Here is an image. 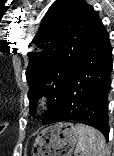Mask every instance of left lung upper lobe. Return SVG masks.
<instances>
[{
    "label": "left lung upper lobe",
    "instance_id": "left-lung-upper-lobe-1",
    "mask_svg": "<svg viewBox=\"0 0 114 156\" xmlns=\"http://www.w3.org/2000/svg\"><path fill=\"white\" fill-rule=\"evenodd\" d=\"M98 15L84 0H57L52 4L33 39L38 51L30 53L26 77L30 113L46 95L48 112L43 124L60 109L70 77L96 24Z\"/></svg>",
    "mask_w": 114,
    "mask_h": 156
}]
</instances>
